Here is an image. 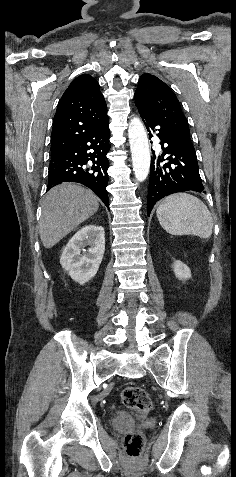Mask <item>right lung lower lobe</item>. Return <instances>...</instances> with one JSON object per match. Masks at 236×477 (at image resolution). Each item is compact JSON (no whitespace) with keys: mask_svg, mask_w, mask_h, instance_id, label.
I'll use <instances>...</instances> for the list:
<instances>
[{"mask_svg":"<svg viewBox=\"0 0 236 477\" xmlns=\"http://www.w3.org/2000/svg\"><path fill=\"white\" fill-rule=\"evenodd\" d=\"M109 122L95 129L62 154L52 157L49 165L48 186L63 182H77L94 191L109 208L108 185L110 150Z\"/></svg>","mask_w":236,"mask_h":477,"instance_id":"1","label":"right lung lower lobe"}]
</instances>
